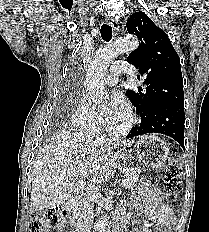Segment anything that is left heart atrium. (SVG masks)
Returning a JSON list of instances; mask_svg holds the SVG:
<instances>
[{
  "label": "left heart atrium",
  "instance_id": "1",
  "mask_svg": "<svg viewBox=\"0 0 209 232\" xmlns=\"http://www.w3.org/2000/svg\"><path fill=\"white\" fill-rule=\"evenodd\" d=\"M109 117L108 123H116L125 119L130 111L129 102L126 98L118 93L112 92L108 98Z\"/></svg>",
  "mask_w": 209,
  "mask_h": 232
}]
</instances>
